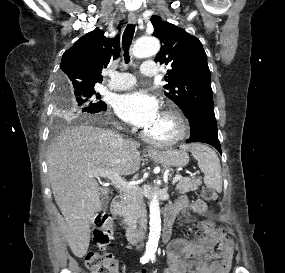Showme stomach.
<instances>
[{
    "mask_svg": "<svg viewBox=\"0 0 285 273\" xmlns=\"http://www.w3.org/2000/svg\"><path fill=\"white\" fill-rule=\"evenodd\" d=\"M150 157L158 163L168 167H184L189 163V156L183 150L168 149L150 154Z\"/></svg>",
    "mask_w": 285,
    "mask_h": 273,
    "instance_id": "stomach-1",
    "label": "stomach"
}]
</instances>
